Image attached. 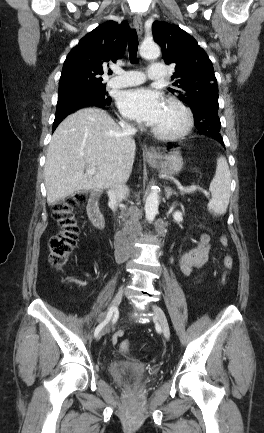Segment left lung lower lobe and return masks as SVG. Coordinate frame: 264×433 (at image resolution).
<instances>
[{
    "mask_svg": "<svg viewBox=\"0 0 264 433\" xmlns=\"http://www.w3.org/2000/svg\"><path fill=\"white\" fill-rule=\"evenodd\" d=\"M193 114L198 133L200 135L211 137L224 146L223 139L220 134L221 123L218 116V108L204 106L194 111ZM168 144L170 145L171 143Z\"/></svg>",
    "mask_w": 264,
    "mask_h": 433,
    "instance_id": "obj_1",
    "label": "left lung lower lobe"
}]
</instances>
